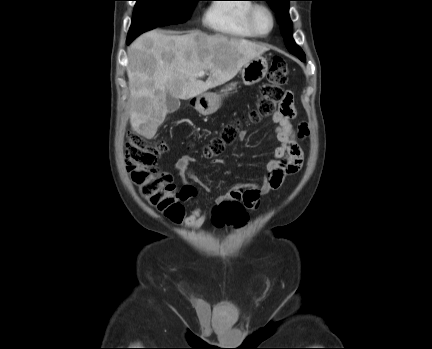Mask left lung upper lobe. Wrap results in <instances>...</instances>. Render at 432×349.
<instances>
[{
    "label": "left lung upper lobe",
    "instance_id": "left-lung-upper-lobe-1",
    "mask_svg": "<svg viewBox=\"0 0 432 349\" xmlns=\"http://www.w3.org/2000/svg\"><path fill=\"white\" fill-rule=\"evenodd\" d=\"M273 11L276 12V17L280 25L281 34L284 37V42L288 50L297 56L301 61H305V54L301 48L295 43L292 37V22L289 17V1L291 0H264Z\"/></svg>",
    "mask_w": 432,
    "mask_h": 349
}]
</instances>
